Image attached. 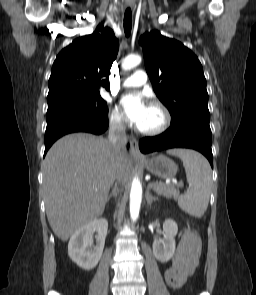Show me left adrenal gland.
<instances>
[{"label": "left adrenal gland", "mask_w": 256, "mask_h": 295, "mask_svg": "<svg viewBox=\"0 0 256 295\" xmlns=\"http://www.w3.org/2000/svg\"><path fill=\"white\" fill-rule=\"evenodd\" d=\"M145 196H146V201H147V205H148V206H150L151 203H152L153 201L158 200L157 197H154V196L149 192V187H148L147 190H146V194H145Z\"/></svg>", "instance_id": "1"}]
</instances>
